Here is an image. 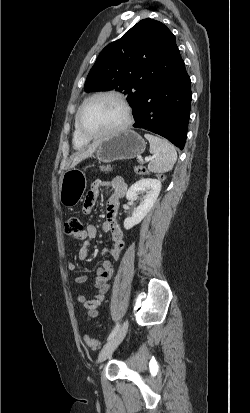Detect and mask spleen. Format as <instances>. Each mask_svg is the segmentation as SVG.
I'll return each mask as SVG.
<instances>
[{
    "mask_svg": "<svg viewBox=\"0 0 250 413\" xmlns=\"http://www.w3.org/2000/svg\"><path fill=\"white\" fill-rule=\"evenodd\" d=\"M150 143V153L154 155L148 164V169L154 173H165L172 170L176 160L177 152L174 146L166 139L150 134H145Z\"/></svg>",
    "mask_w": 250,
    "mask_h": 413,
    "instance_id": "obj_1",
    "label": "spleen"
}]
</instances>
